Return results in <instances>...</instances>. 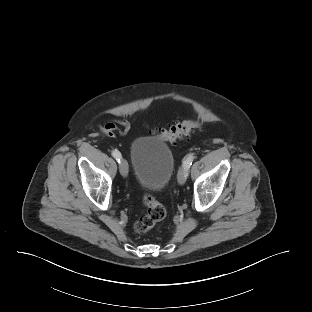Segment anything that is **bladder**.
I'll return each mask as SVG.
<instances>
[{
    "label": "bladder",
    "instance_id": "31cf9c89",
    "mask_svg": "<svg viewBox=\"0 0 312 312\" xmlns=\"http://www.w3.org/2000/svg\"><path fill=\"white\" fill-rule=\"evenodd\" d=\"M134 178L142 190L158 192L165 188L174 172V156L158 137H139L130 148Z\"/></svg>",
    "mask_w": 312,
    "mask_h": 312
}]
</instances>
